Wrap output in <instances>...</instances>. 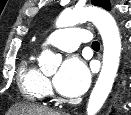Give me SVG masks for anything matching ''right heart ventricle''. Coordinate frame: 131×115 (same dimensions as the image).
<instances>
[{
    "instance_id": "obj_1",
    "label": "right heart ventricle",
    "mask_w": 131,
    "mask_h": 115,
    "mask_svg": "<svg viewBox=\"0 0 131 115\" xmlns=\"http://www.w3.org/2000/svg\"><path fill=\"white\" fill-rule=\"evenodd\" d=\"M45 77L28 56L22 60L18 70V86L22 96L29 101H38L46 94Z\"/></svg>"
}]
</instances>
